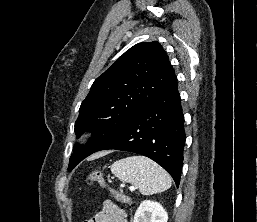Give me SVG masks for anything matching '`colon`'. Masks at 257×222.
Instances as JSON below:
<instances>
[{"instance_id": "obj_1", "label": "colon", "mask_w": 257, "mask_h": 222, "mask_svg": "<svg viewBox=\"0 0 257 222\" xmlns=\"http://www.w3.org/2000/svg\"><path fill=\"white\" fill-rule=\"evenodd\" d=\"M87 179H88L89 183L97 181L101 186L109 187L106 179L104 178L103 174L100 171L95 170V171L90 172ZM110 190L113 193V195L115 196V198L117 200H119L120 202L127 203L129 201V198L125 194H123L115 189H112V188H110Z\"/></svg>"}]
</instances>
